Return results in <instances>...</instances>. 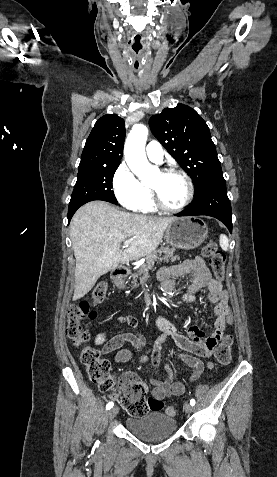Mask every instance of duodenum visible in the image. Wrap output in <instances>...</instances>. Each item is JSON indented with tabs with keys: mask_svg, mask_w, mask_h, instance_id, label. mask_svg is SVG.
Listing matches in <instances>:
<instances>
[{
	"mask_svg": "<svg viewBox=\"0 0 277 477\" xmlns=\"http://www.w3.org/2000/svg\"><path fill=\"white\" fill-rule=\"evenodd\" d=\"M128 274L129 271L126 267H118L112 272V277L117 284H121Z\"/></svg>",
	"mask_w": 277,
	"mask_h": 477,
	"instance_id": "obj_1",
	"label": "duodenum"
}]
</instances>
